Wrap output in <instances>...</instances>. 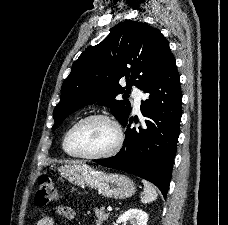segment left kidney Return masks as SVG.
Instances as JSON below:
<instances>
[{"mask_svg": "<svg viewBox=\"0 0 228 225\" xmlns=\"http://www.w3.org/2000/svg\"><path fill=\"white\" fill-rule=\"evenodd\" d=\"M127 221L130 225H147L148 215L141 209H129L118 217L116 223H127Z\"/></svg>", "mask_w": 228, "mask_h": 225, "instance_id": "5707ae66", "label": "left kidney"}]
</instances>
